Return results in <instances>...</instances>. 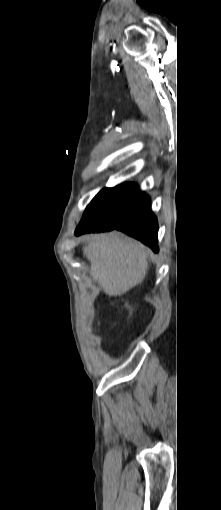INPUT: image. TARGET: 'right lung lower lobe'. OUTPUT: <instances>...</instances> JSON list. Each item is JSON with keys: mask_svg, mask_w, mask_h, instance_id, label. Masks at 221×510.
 <instances>
[{"mask_svg": "<svg viewBox=\"0 0 221 510\" xmlns=\"http://www.w3.org/2000/svg\"><path fill=\"white\" fill-rule=\"evenodd\" d=\"M150 204L149 197L134 188L119 219L103 218L88 206L76 228L75 235L117 229L142 241L154 252H158V223L150 209Z\"/></svg>", "mask_w": 221, "mask_h": 510, "instance_id": "right-lung-lower-lobe-1", "label": "right lung lower lobe"}]
</instances>
